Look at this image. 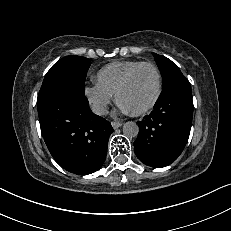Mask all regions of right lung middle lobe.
Here are the masks:
<instances>
[{"mask_svg": "<svg viewBox=\"0 0 231 231\" xmlns=\"http://www.w3.org/2000/svg\"><path fill=\"white\" fill-rule=\"evenodd\" d=\"M90 65V60L81 56L72 55L60 59L47 72L38 99L63 87H74L84 92L85 78Z\"/></svg>", "mask_w": 231, "mask_h": 231, "instance_id": "right-lung-middle-lobe-1", "label": "right lung middle lobe"}]
</instances>
